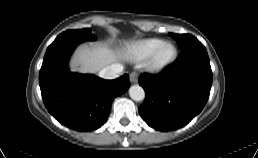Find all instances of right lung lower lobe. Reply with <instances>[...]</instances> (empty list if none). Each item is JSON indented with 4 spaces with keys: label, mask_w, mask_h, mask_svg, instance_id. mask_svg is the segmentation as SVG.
Masks as SVG:
<instances>
[{
    "label": "right lung lower lobe",
    "mask_w": 258,
    "mask_h": 158,
    "mask_svg": "<svg viewBox=\"0 0 258 158\" xmlns=\"http://www.w3.org/2000/svg\"><path fill=\"white\" fill-rule=\"evenodd\" d=\"M81 42L54 41L47 48L39 85L44 104L54 118L76 131H92L106 122L113 99L123 94L130 82L127 74L103 80L70 72L69 57Z\"/></svg>",
    "instance_id": "1"
}]
</instances>
